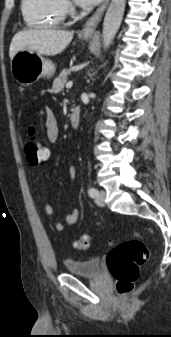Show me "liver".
<instances>
[{"label": "liver", "mask_w": 171, "mask_h": 337, "mask_svg": "<svg viewBox=\"0 0 171 337\" xmlns=\"http://www.w3.org/2000/svg\"><path fill=\"white\" fill-rule=\"evenodd\" d=\"M73 39V32L55 29L23 30L16 33L11 41L9 57L21 50H29L40 55L54 56L61 53Z\"/></svg>", "instance_id": "obj_1"}]
</instances>
